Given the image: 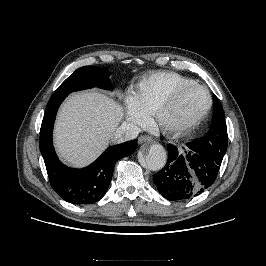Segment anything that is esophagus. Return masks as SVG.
Masks as SVG:
<instances>
[{"label": "esophagus", "mask_w": 266, "mask_h": 266, "mask_svg": "<svg viewBox=\"0 0 266 266\" xmlns=\"http://www.w3.org/2000/svg\"><path fill=\"white\" fill-rule=\"evenodd\" d=\"M145 142L152 143L153 142V139L150 136H148V135H142V136H140L138 138V143L139 144H143Z\"/></svg>", "instance_id": "esophagus-1"}]
</instances>
